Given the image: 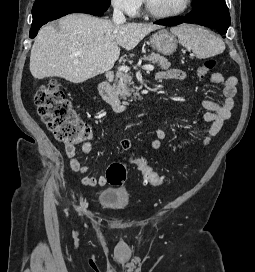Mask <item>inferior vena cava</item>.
Listing matches in <instances>:
<instances>
[{"label": "inferior vena cava", "instance_id": "inferior-vena-cava-1", "mask_svg": "<svg viewBox=\"0 0 255 272\" xmlns=\"http://www.w3.org/2000/svg\"><path fill=\"white\" fill-rule=\"evenodd\" d=\"M112 20L116 25H120L126 22V18L120 8H114Z\"/></svg>", "mask_w": 255, "mask_h": 272}]
</instances>
